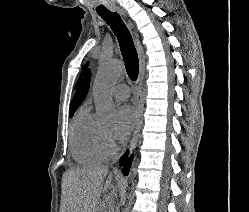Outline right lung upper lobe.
Listing matches in <instances>:
<instances>
[{
    "mask_svg": "<svg viewBox=\"0 0 249 212\" xmlns=\"http://www.w3.org/2000/svg\"><path fill=\"white\" fill-rule=\"evenodd\" d=\"M90 70L86 73L85 78L82 81V84L74 96L71 105H70V111H76L79 105L83 102L85 97L87 96V93L89 91V86H90Z\"/></svg>",
    "mask_w": 249,
    "mask_h": 212,
    "instance_id": "cb5924a9",
    "label": "right lung upper lobe"
}]
</instances>
